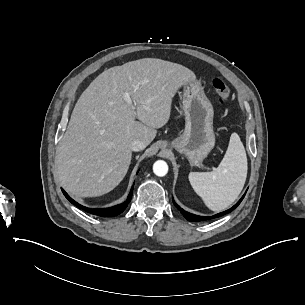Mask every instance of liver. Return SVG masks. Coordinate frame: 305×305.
Wrapping results in <instances>:
<instances>
[{
    "mask_svg": "<svg viewBox=\"0 0 305 305\" xmlns=\"http://www.w3.org/2000/svg\"><path fill=\"white\" fill-rule=\"evenodd\" d=\"M195 80L190 69L155 58L98 75L79 97L59 143L57 174L65 190L81 197L112 191L128 171L130 142L139 139L149 145L156 129L168 122L177 90ZM124 92L134 104L124 101Z\"/></svg>",
    "mask_w": 305,
    "mask_h": 305,
    "instance_id": "1",
    "label": "liver"
}]
</instances>
